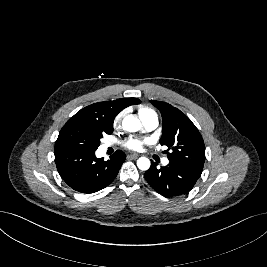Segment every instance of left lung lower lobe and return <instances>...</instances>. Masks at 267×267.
Segmentation results:
<instances>
[{"mask_svg":"<svg viewBox=\"0 0 267 267\" xmlns=\"http://www.w3.org/2000/svg\"><path fill=\"white\" fill-rule=\"evenodd\" d=\"M157 165L151 161V167L144 176L150 186L164 197L188 193L202 173V169L172 161L165 167Z\"/></svg>","mask_w":267,"mask_h":267,"instance_id":"obj_1","label":"left lung lower lobe"}]
</instances>
